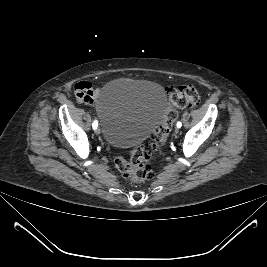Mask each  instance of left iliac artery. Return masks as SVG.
Segmentation results:
<instances>
[{
  "label": "left iliac artery",
  "mask_w": 267,
  "mask_h": 267,
  "mask_svg": "<svg viewBox=\"0 0 267 267\" xmlns=\"http://www.w3.org/2000/svg\"><path fill=\"white\" fill-rule=\"evenodd\" d=\"M176 125H177L178 128H180L182 126V123L179 121V122H177Z\"/></svg>",
  "instance_id": "obj_1"
}]
</instances>
